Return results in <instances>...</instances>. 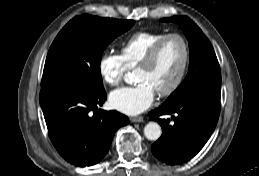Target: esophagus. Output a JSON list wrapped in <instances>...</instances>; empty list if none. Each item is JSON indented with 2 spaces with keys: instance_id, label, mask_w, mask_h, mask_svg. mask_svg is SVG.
<instances>
[{
  "instance_id": "esophagus-1",
  "label": "esophagus",
  "mask_w": 259,
  "mask_h": 176,
  "mask_svg": "<svg viewBox=\"0 0 259 176\" xmlns=\"http://www.w3.org/2000/svg\"><path fill=\"white\" fill-rule=\"evenodd\" d=\"M130 121L133 123L143 122V117H141V116L130 117Z\"/></svg>"
}]
</instances>
